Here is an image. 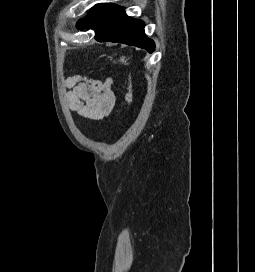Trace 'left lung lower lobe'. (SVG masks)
Here are the masks:
<instances>
[{
	"label": "left lung lower lobe",
	"mask_w": 255,
	"mask_h": 272,
	"mask_svg": "<svg viewBox=\"0 0 255 272\" xmlns=\"http://www.w3.org/2000/svg\"><path fill=\"white\" fill-rule=\"evenodd\" d=\"M78 29H93L99 42H118L154 51L155 44L144 33V22L128 17L115 4H97L85 19L77 22Z\"/></svg>",
	"instance_id": "left-lung-lower-lobe-1"
}]
</instances>
